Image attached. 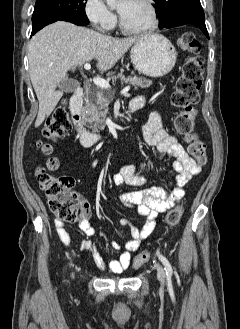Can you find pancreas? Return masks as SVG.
<instances>
[{
	"label": "pancreas",
	"instance_id": "1",
	"mask_svg": "<svg viewBox=\"0 0 240 329\" xmlns=\"http://www.w3.org/2000/svg\"><path fill=\"white\" fill-rule=\"evenodd\" d=\"M117 78L121 79V83H130L137 90L138 87L146 88L152 84V81L144 77L128 76L127 78L119 73L113 77V82ZM113 94L99 87L94 88V92L90 89L86 91V104L84 106L85 122L89 124V127L94 133L104 130L105 118L109 113L108 106L113 100Z\"/></svg>",
	"mask_w": 240,
	"mask_h": 329
}]
</instances>
